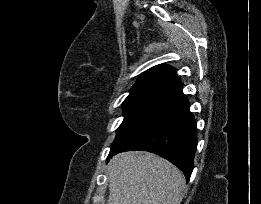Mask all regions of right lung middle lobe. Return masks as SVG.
<instances>
[{"label": "right lung middle lobe", "instance_id": "obj_1", "mask_svg": "<svg viewBox=\"0 0 261 204\" xmlns=\"http://www.w3.org/2000/svg\"><path fill=\"white\" fill-rule=\"evenodd\" d=\"M169 95L158 93L130 94L123 102L124 120L117 129V135L111 147L143 121Z\"/></svg>", "mask_w": 261, "mask_h": 204}]
</instances>
